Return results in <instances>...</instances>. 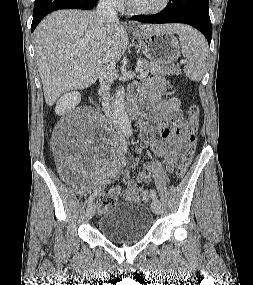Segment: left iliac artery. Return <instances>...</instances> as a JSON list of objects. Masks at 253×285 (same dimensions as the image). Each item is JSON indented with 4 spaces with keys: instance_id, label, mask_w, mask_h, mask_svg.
<instances>
[{
    "instance_id": "obj_1",
    "label": "left iliac artery",
    "mask_w": 253,
    "mask_h": 285,
    "mask_svg": "<svg viewBox=\"0 0 253 285\" xmlns=\"http://www.w3.org/2000/svg\"><path fill=\"white\" fill-rule=\"evenodd\" d=\"M150 196L152 199H157V193L154 189L150 190Z\"/></svg>"
}]
</instances>
